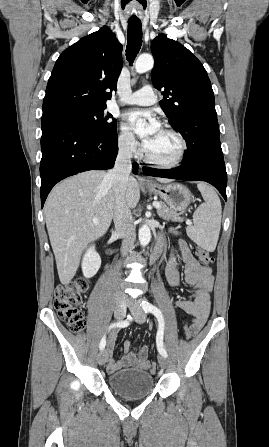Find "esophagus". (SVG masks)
Listing matches in <instances>:
<instances>
[{
	"instance_id": "1",
	"label": "esophagus",
	"mask_w": 269,
	"mask_h": 447,
	"mask_svg": "<svg viewBox=\"0 0 269 447\" xmlns=\"http://www.w3.org/2000/svg\"><path fill=\"white\" fill-rule=\"evenodd\" d=\"M142 183L148 184V183H153V181H152V180H149V179H145V178H143V179H142Z\"/></svg>"
}]
</instances>
